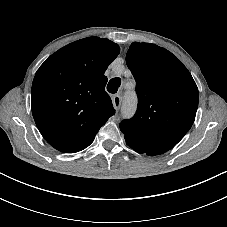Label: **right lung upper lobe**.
<instances>
[{
	"label": "right lung upper lobe",
	"instance_id": "1",
	"mask_svg": "<svg viewBox=\"0 0 227 227\" xmlns=\"http://www.w3.org/2000/svg\"><path fill=\"white\" fill-rule=\"evenodd\" d=\"M120 48L99 37L75 41L52 54L35 74L32 114L45 140L74 153L88 147L115 114L105 91L109 64Z\"/></svg>",
	"mask_w": 227,
	"mask_h": 227
}]
</instances>
